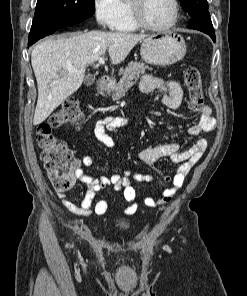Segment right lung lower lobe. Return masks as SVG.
I'll return each instance as SVG.
<instances>
[{
	"label": "right lung lower lobe",
	"instance_id": "obj_1",
	"mask_svg": "<svg viewBox=\"0 0 247 296\" xmlns=\"http://www.w3.org/2000/svg\"><path fill=\"white\" fill-rule=\"evenodd\" d=\"M72 26V25H70ZM70 26H63V27H58V26H48L46 32H44L43 34L39 35V36H33L32 33H33V30H34V27L32 26L31 27V31H30V34H29V41H28V46L34 44L36 41H38L40 38L46 36V35H50L52 34L53 32H55L56 30H59V29H63V28H67V27H70Z\"/></svg>",
	"mask_w": 247,
	"mask_h": 296
}]
</instances>
